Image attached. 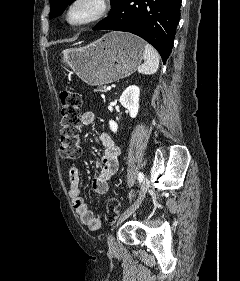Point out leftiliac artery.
Segmentation results:
<instances>
[{
  "label": "left iliac artery",
  "instance_id": "1",
  "mask_svg": "<svg viewBox=\"0 0 240 281\" xmlns=\"http://www.w3.org/2000/svg\"><path fill=\"white\" fill-rule=\"evenodd\" d=\"M143 178H144L143 173H142V172H139V174H138V180H139V182H142Z\"/></svg>",
  "mask_w": 240,
  "mask_h": 281
}]
</instances>
